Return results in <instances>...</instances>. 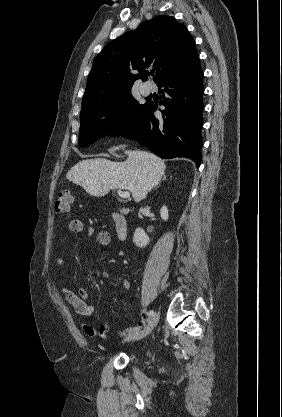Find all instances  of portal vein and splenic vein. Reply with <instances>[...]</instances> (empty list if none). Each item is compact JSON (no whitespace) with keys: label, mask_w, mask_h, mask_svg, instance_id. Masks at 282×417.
I'll list each match as a JSON object with an SVG mask.
<instances>
[{"label":"portal vein and splenic vein","mask_w":282,"mask_h":417,"mask_svg":"<svg viewBox=\"0 0 282 417\" xmlns=\"http://www.w3.org/2000/svg\"><path fill=\"white\" fill-rule=\"evenodd\" d=\"M117 194H119V196H122V198H129L130 196V192H128V190H121V188H118Z\"/></svg>","instance_id":"18ae733b"}]
</instances>
